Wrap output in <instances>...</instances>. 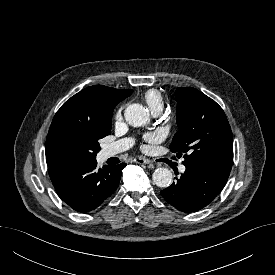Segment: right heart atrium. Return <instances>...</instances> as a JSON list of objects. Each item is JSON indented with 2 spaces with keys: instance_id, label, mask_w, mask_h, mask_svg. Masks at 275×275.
<instances>
[{
  "instance_id": "right-heart-atrium-1",
  "label": "right heart atrium",
  "mask_w": 275,
  "mask_h": 275,
  "mask_svg": "<svg viewBox=\"0 0 275 275\" xmlns=\"http://www.w3.org/2000/svg\"><path fill=\"white\" fill-rule=\"evenodd\" d=\"M120 118H121V112L119 111L117 114V119H120Z\"/></svg>"
}]
</instances>
